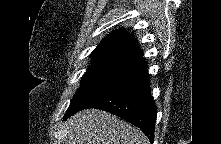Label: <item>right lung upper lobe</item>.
<instances>
[{"mask_svg": "<svg viewBox=\"0 0 221 144\" xmlns=\"http://www.w3.org/2000/svg\"><path fill=\"white\" fill-rule=\"evenodd\" d=\"M135 37L127 33L123 28L117 29L110 33L97 48L92 55L103 53H127L143 56V53L135 45Z\"/></svg>", "mask_w": 221, "mask_h": 144, "instance_id": "1", "label": "right lung upper lobe"}]
</instances>
